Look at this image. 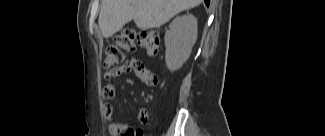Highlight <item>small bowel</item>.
Instances as JSON below:
<instances>
[{"label": "small bowel", "mask_w": 325, "mask_h": 136, "mask_svg": "<svg viewBox=\"0 0 325 136\" xmlns=\"http://www.w3.org/2000/svg\"><path fill=\"white\" fill-rule=\"evenodd\" d=\"M134 72L138 78L148 86H155L158 84L159 79L156 74L148 70L143 64L142 57H134L130 60L125 61L120 67L115 68L107 73H105L106 84L103 87V95L106 98H112L114 96V88L109 83L110 79L117 77L124 73ZM105 115L109 121L108 131L110 135H124L131 127L125 123H119L111 121L114 112L110 105L105 107ZM138 117L141 122H146L148 120V111L146 108H140L138 111ZM140 131V130H139ZM141 133V132H140Z\"/></svg>", "instance_id": "small-bowel-1"}]
</instances>
